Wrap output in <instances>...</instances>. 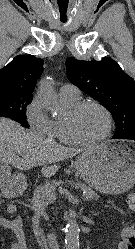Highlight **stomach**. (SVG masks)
<instances>
[{
    "instance_id": "stomach-1",
    "label": "stomach",
    "mask_w": 135,
    "mask_h": 249,
    "mask_svg": "<svg viewBox=\"0 0 135 249\" xmlns=\"http://www.w3.org/2000/svg\"><path fill=\"white\" fill-rule=\"evenodd\" d=\"M75 167L91 188L106 194L124 193L135 185V143L105 141L82 153Z\"/></svg>"
}]
</instances>
